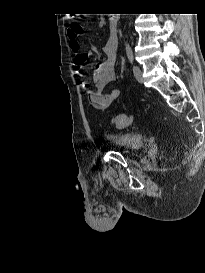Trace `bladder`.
<instances>
[{
  "mask_svg": "<svg viewBox=\"0 0 205 273\" xmlns=\"http://www.w3.org/2000/svg\"><path fill=\"white\" fill-rule=\"evenodd\" d=\"M106 138L112 146L129 153L140 152L144 147L143 137L137 134L116 132L108 134Z\"/></svg>",
  "mask_w": 205,
  "mask_h": 273,
  "instance_id": "obj_1",
  "label": "bladder"
}]
</instances>
